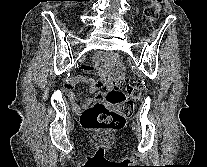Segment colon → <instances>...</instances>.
I'll use <instances>...</instances> for the list:
<instances>
[{
	"label": "colon",
	"instance_id": "obj_1",
	"mask_svg": "<svg viewBox=\"0 0 207 167\" xmlns=\"http://www.w3.org/2000/svg\"><path fill=\"white\" fill-rule=\"evenodd\" d=\"M160 0H154L145 8V16L149 23H154L159 11ZM113 61L116 55H110ZM124 86V90L121 87ZM144 87L127 80L113 78L112 87L100 97L99 101L84 111L81 117L82 125L88 130H112L124 126L133 112V102L142 97Z\"/></svg>",
	"mask_w": 207,
	"mask_h": 167
}]
</instances>
